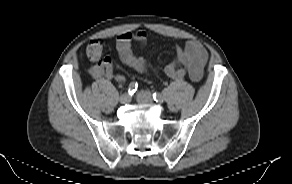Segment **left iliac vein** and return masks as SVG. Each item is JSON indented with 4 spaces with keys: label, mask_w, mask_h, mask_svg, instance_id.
<instances>
[{
    "label": "left iliac vein",
    "mask_w": 292,
    "mask_h": 184,
    "mask_svg": "<svg viewBox=\"0 0 292 184\" xmlns=\"http://www.w3.org/2000/svg\"><path fill=\"white\" fill-rule=\"evenodd\" d=\"M137 101L142 105H146V104L152 105L153 104V96L148 91H140L137 94Z\"/></svg>",
    "instance_id": "1"
}]
</instances>
